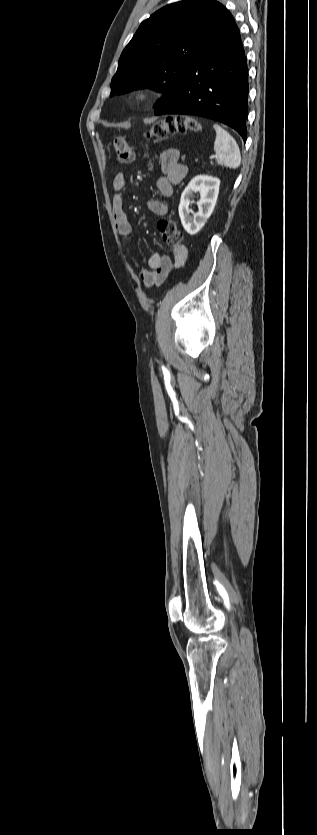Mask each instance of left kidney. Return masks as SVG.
<instances>
[{"mask_svg":"<svg viewBox=\"0 0 317 835\" xmlns=\"http://www.w3.org/2000/svg\"><path fill=\"white\" fill-rule=\"evenodd\" d=\"M219 186L220 180L218 178L198 175L184 189L178 212L184 229L190 235L196 234L213 213L219 194ZM197 192L200 194V199L196 203L199 211L194 213L189 206L195 204L192 199L195 197L194 193Z\"/></svg>","mask_w":317,"mask_h":835,"instance_id":"obj_1","label":"left kidney"}]
</instances>
